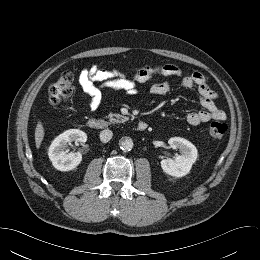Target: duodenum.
I'll return each mask as SVG.
<instances>
[{
    "instance_id": "obj_1",
    "label": "duodenum",
    "mask_w": 260,
    "mask_h": 260,
    "mask_svg": "<svg viewBox=\"0 0 260 260\" xmlns=\"http://www.w3.org/2000/svg\"><path fill=\"white\" fill-rule=\"evenodd\" d=\"M87 125L94 130H103L108 128V123L103 119L91 118L88 120ZM148 125L146 122L141 121L137 124V129L139 131H145Z\"/></svg>"
}]
</instances>
